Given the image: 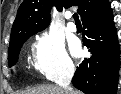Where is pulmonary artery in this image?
Instances as JSON below:
<instances>
[{"mask_svg":"<svg viewBox=\"0 0 121 94\" xmlns=\"http://www.w3.org/2000/svg\"><path fill=\"white\" fill-rule=\"evenodd\" d=\"M67 17L70 19L71 18V14H67ZM67 28L69 31L71 32H75L76 31V25L74 22H72L71 20L67 23Z\"/></svg>","mask_w":121,"mask_h":94,"instance_id":"e3ab8cb5","label":"pulmonary artery"}]
</instances>
